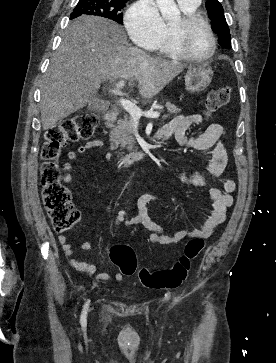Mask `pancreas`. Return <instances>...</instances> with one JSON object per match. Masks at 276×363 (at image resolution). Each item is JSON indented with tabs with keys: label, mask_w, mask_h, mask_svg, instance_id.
<instances>
[{
	"label": "pancreas",
	"mask_w": 276,
	"mask_h": 363,
	"mask_svg": "<svg viewBox=\"0 0 276 363\" xmlns=\"http://www.w3.org/2000/svg\"><path fill=\"white\" fill-rule=\"evenodd\" d=\"M165 106L170 114H178L181 112V109L170 102H167ZM133 126L134 121L127 114L124 115L123 119L119 118L116 123H107V127L110 129L111 147L116 149L120 146L122 149L132 150L134 145V138L132 136Z\"/></svg>",
	"instance_id": "pancreas-1"
}]
</instances>
